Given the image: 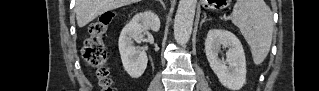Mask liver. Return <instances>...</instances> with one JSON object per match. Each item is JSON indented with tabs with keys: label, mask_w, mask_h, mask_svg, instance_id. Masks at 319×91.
I'll return each mask as SVG.
<instances>
[{
	"label": "liver",
	"mask_w": 319,
	"mask_h": 91,
	"mask_svg": "<svg viewBox=\"0 0 319 91\" xmlns=\"http://www.w3.org/2000/svg\"><path fill=\"white\" fill-rule=\"evenodd\" d=\"M138 0H76L75 13L77 24L84 27L99 15Z\"/></svg>",
	"instance_id": "1"
}]
</instances>
